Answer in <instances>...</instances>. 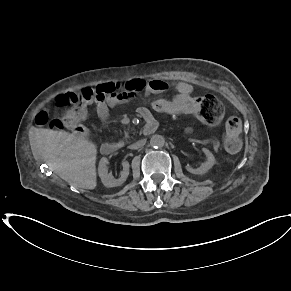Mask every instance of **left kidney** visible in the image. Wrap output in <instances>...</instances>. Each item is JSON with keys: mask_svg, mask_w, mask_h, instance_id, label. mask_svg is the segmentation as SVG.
Wrapping results in <instances>:
<instances>
[{"mask_svg": "<svg viewBox=\"0 0 291 291\" xmlns=\"http://www.w3.org/2000/svg\"><path fill=\"white\" fill-rule=\"evenodd\" d=\"M202 150L207 157V161L202 163L201 166L196 169H193L192 167L187 166V171H189L192 174L203 175L207 173L209 169H211L213 165L215 164V158L213 154L206 148H203Z\"/></svg>", "mask_w": 291, "mask_h": 291, "instance_id": "1", "label": "left kidney"}]
</instances>
